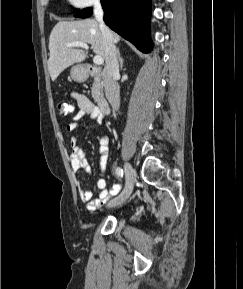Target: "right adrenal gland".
<instances>
[{"label": "right adrenal gland", "mask_w": 243, "mask_h": 289, "mask_svg": "<svg viewBox=\"0 0 243 289\" xmlns=\"http://www.w3.org/2000/svg\"><path fill=\"white\" fill-rule=\"evenodd\" d=\"M117 55H118V59H119V62H120V68L122 69L123 68V58L120 55L119 48L117 49Z\"/></svg>", "instance_id": "obj_1"}]
</instances>
